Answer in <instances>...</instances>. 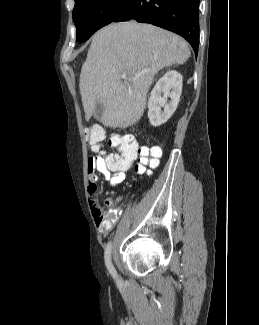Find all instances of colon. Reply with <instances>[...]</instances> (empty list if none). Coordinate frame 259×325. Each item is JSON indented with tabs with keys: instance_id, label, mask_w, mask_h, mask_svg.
Wrapping results in <instances>:
<instances>
[{
	"instance_id": "5ec220e1",
	"label": "colon",
	"mask_w": 259,
	"mask_h": 325,
	"mask_svg": "<svg viewBox=\"0 0 259 325\" xmlns=\"http://www.w3.org/2000/svg\"><path fill=\"white\" fill-rule=\"evenodd\" d=\"M85 135L94 150H98L100 144L105 138L104 132L100 128L88 127L85 129ZM110 145L116 149V155L119 158V166L126 167L138 156L139 163L135 170L138 173H150V169L158 166L161 150L148 148L146 146L139 147L134 139L130 136L113 134L109 138Z\"/></svg>"
}]
</instances>
